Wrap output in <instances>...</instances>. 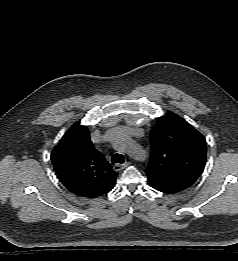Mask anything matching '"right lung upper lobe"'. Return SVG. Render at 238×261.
I'll list each match as a JSON object with an SVG mask.
<instances>
[{
	"label": "right lung upper lobe",
	"instance_id": "cb5924a9",
	"mask_svg": "<svg viewBox=\"0 0 238 261\" xmlns=\"http://www.w3.org/2000/svg\"><path fill=\"white\" fill-rule=\"evenodd\" d=\"M57 177L73 194L96 198L109 192L118 175L97 151L86 126L75 122L51 153Z\"/></svg>",
	"mask_w": 238,
	"mask_h": 261
}]
</instances>
